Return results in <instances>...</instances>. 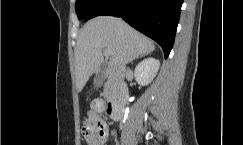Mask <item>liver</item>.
Wrapping results in <instances>:
<instances>
[{"instance_id":"1","label":"liver","mask_w":243,"mask_h":145,"mask_svg":"<svg viewBox=\"0 0 243 145\" xmlns=\"http://www.w3.org/2000/svg\"><path fill=\"white\" fill-rule=\"evenodd\" d=\"M103 49L111 53L109 65L117 68L151 53L155 45L121 19L111 16L91 19L81 29L75 47L78 92L102 65Z\"/></svg>"}]
</instances>
